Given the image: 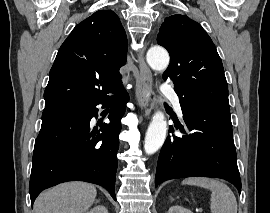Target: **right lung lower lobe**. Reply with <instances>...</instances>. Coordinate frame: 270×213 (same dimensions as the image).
<instances>
[{
  "mask_svg": "<svg viewBox=\"0 0 270 213\" xmlns=\"http://www.w3.org/2000/svg\"><path fill=\"white\" fill-rule=\"evenodd\" d=\"M117 99L104 96L79 105L44 109L40 133L35 141L29 184L31 204L41 191L67 181H86L106 188L115 197L117 151L121 118L129 100L123 87ZM111 105L110 123L90 127L96 106Z\"/></svg>",
  "mask_w": 270,
  "mask_h": 213,
  "instance_id": "obj_1",
  "label": "right lung lower lobe"
}]
</instances>
